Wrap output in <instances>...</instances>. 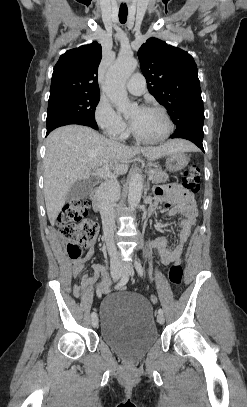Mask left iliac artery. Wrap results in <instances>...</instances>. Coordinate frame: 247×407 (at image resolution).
<instances>
[{"label": "left iliac artery", "instance_id": "obj_1", "mask_svg": "<svg viewBox=\"0 0 247 407\" xmlns=\"http://www.w3.org/2000/svg\"><path fill=\"white\" fill-rule=\"evenodd\" d=\"M134 265H135V269H136L137 273L139 274V276L143 277L144 270H143V267L141 266V264L138 261H135ZM158 314H163V310L161 308L158 309Z\"/></svg>", "mask_w": 247, "mask_h": 407}]
</instances>
